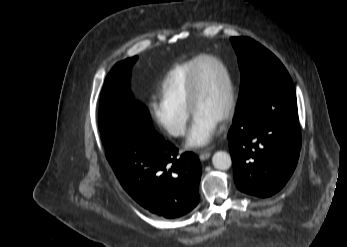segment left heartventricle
<instances>
[{"label": "left heart ventricle", "instance_id": "1", "mask_svg": "<svg viewBox=\"0 0 347 247\" xmlns=\"http://www.w3.org/2000/svg\"><path fill=\"white\" fill-rule=\"evenodd\" d=\"M199 95L195 115L220 120L227 105V81L222 69L212 61H204L198 70Z\"/></svg>", "mask_w": 347, "mask_h": 247}]
</instances>
